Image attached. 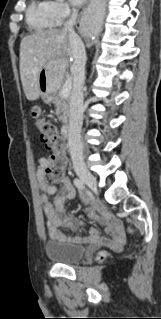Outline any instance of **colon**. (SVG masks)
I'll list each match as a JSON object with an SVG mask.
<instances>
[{
	"label": "colon",
	"instance_id": "1",
	"mask_svg": "<svg viewBox=\"0 0 161 319\" xmlns=\"http://www.w3.org/2000/svg\"><path fill=\"white\" fill-rule=\"evenodd\" d=\"M31 112L32 116L36 118V125L43 140L54 150L47 159L45 166L46 177L49 180L63 178L66 172L68 158L63 152L62 139L58 134L57 128L54 124L40 118L39 108H33ZM105 256L106 253L101 252L98 258L102 260Z\"/></svg>",
	"mask_w": 161,
	"mask_h": 319
}]
</instances>
